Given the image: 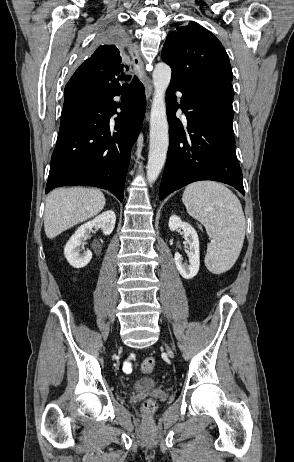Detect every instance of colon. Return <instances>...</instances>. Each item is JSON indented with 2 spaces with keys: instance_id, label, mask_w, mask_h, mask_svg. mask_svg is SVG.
Wrapping results in <instances>:
<instances>
[{
  "instance_id": "colon-1",
  "label": "colon",
  "mask_w": 294,
  "mask_h": 462,
  "mask_svg": "<svg viewBox=\"0 0 294 462\" xmlns=\"http://www.w3.org/2000/svg\"><path fill=\"white\" fill-rule=\"evenodd\" d=\"M155 359L153 357H148L143 360L141 364V370L143 373H150L155 367ZM156 408V403L149 399L143 403V409L147 413H152Z\"/></svg>"
}]
</instances>
